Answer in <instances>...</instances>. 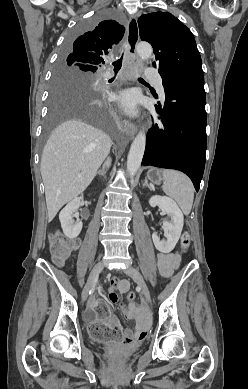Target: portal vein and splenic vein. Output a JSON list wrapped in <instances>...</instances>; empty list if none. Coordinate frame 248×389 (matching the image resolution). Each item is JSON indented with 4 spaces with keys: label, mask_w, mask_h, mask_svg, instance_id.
<instances>
[{
    "label": "portal vein and splenic vein",
    "mask_w": 248,
    "mask_h": 389,
    "mask_svg": "<svg viewBox=\"0 0 248 389\" xmlns=\"http://www.w3.org/2000/svg\"><path fill=\"white\" fill-rule=\"evenodd\" d=\"M77 176H78V177H81L82 175H81V174H78Z\"/></svg>",
    "instance_id": "obj_1"
}]
</instances>
